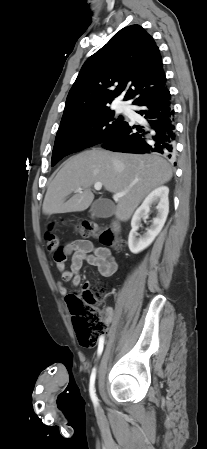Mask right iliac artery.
<instances>
[{
	"mask_svg": "<svg viewBox=\"0 0 207 449\" xmlns=\"http://www.w3.org/2000/svg\"><path fill=\"white\" fill-rule=\"evenodd\" d=\"M104 348V336H101L99 338V344H98V349H97V354L98 356H100L102 354ZM95 378H96V368L93 369L91 376H90V384H89V391H90V396L92 399V402L94 403L95 406L98 405V399L95 393Z\"/></svg>",
	"mask_w": 207,
	"mask_h": 449,
	"instance_id": "right-iliac-artery-1",
	"label": "right iliac artery"
}]
</instances>
